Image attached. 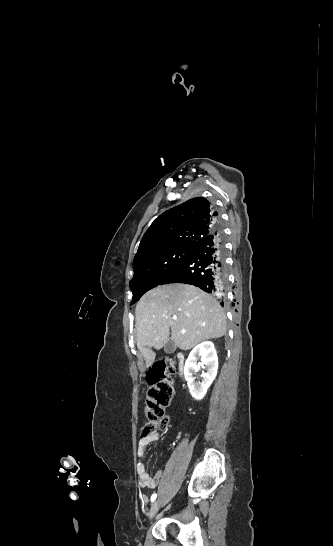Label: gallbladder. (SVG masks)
Here are the masks:
<instances>
[{
    "mask_svg": "<svg viewBox=\"0 0 333 546\" xmlns=\"http://www.w3.org/2000/svg\"><path fill=\"white\" fill-rule=\"evenodd\" d=\"M175 350H176V345L172 340H169L164 346V351L167 354H172L175 352Z\"/></svg>",
    "mask_w": 333,
    "mask_h": 546,
    "instance_id": "bac80fb5",
    "label": "gallbladder"
}]
</instances>
